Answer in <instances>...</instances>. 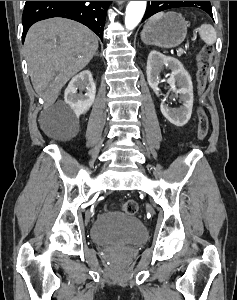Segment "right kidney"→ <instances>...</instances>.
<instances>
[{"instance_id":"obj_1","label":"right kidney","mask_w":237,"mask_h":300,"mask_svg":"<svg viewBox=\"0 0 237 300\" xmlns=\"http://www.w3.org/2000/svg\"><path fill=\"white\" fill-rule=\"evenodd\" d=\"M78 89L80 93H78ZM84 93V95H83ZM96 87L90 71H82L70 81L64 93V101L77 117L87 113L95 101Z\"/></svg>"}]
</instances>
